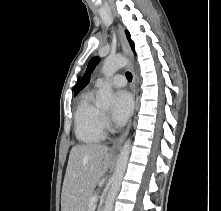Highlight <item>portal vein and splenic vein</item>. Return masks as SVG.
<instances>
[{
    "label": "portal vein and splenic vein",
    "mask_w": 221,
    "mask_h": 211,
    "mask_svg": "<svg viewBox=\"0 0 221 211\" xmlns=\"http://www.w3.org/2000/svg\"><path fill=\"white\" fill-rule=\"evenodd\" d=\"M97 196H93L90 200V210L94 211L96 208Z\"/></svg>",
    "instance_id": "obj_1"
}]
</instances>
